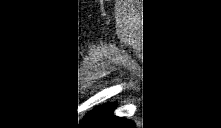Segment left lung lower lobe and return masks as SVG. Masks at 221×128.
I'll return each instance as SVG.
<instances>
[{"mask_svg":"<svg viewBox=\"0 0 221 128\" xmlns=\"http://www.w3.org/2000/svg\"><path fill=\"white\" fill-rule=\"evenodd\" d=\"M114 104H107L95 108L75 121L79 128H134L135 123L130 119L114 116Z\"/></svg>","mask_w":221,"mask_h":128,"instance_id":"1","label":"left lung lower lobe"}]
</instances>
